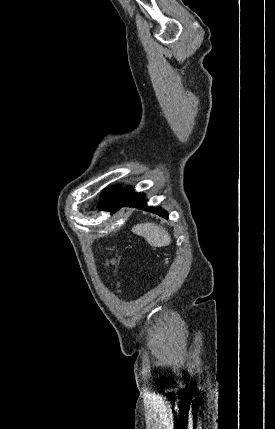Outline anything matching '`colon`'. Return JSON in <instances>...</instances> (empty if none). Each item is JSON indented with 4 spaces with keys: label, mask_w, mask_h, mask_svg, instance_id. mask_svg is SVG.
I'll use <instances>...</instances> for the list:
<instances>
[{
    "label": "colon",
    "mask_w": 275,
    "mask_h": 429,
    "mask_svg": "<svg viewBox=\"0 0 275 429\" xmlns=\"http://www.w3.org/2000/svg\"><path fill=\"white\" fill-rule=\"evenodd\" d=\"M116 264H117V259L115 257L108 258L107 265L112 269L113 273H115Z\"/></svg>",
    "instance_id": "obj_1"
}]
</instances>
